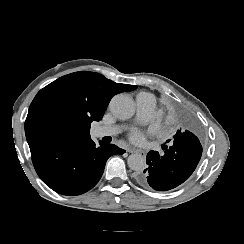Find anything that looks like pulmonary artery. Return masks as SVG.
I'll list each match as a JSON object with an SVG mask.
<instances>
[{"mask_svg":"<svg viewBox=\"0 0 244 244\" xmlns=\"http://www.w3.org/2000/svg\"><path fill=\"white\" fill-rule=\"evenodd\" d=\"M137 121L147 122L152 120L157 112L156 98L148 92H141L136 97ZM124 129L123 126H100L93 130L95 137L114 136Z\"/></svg>","mask_w":244,"mask_h":244,"instance_id":"e3ab8cb5","label":"pulmonary artery"}]
</instances>
